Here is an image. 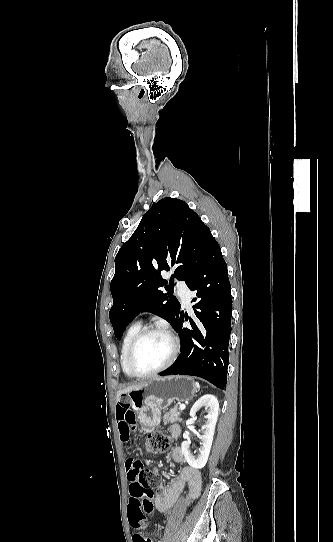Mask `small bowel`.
Masks as SVG:
<instances>
[{
  "instance_id": "c3829d8e",
  "label": "small bowel",
  "mask_w": 333,
  "mask_h": 542,
  "mask_svg": "<svg viewBox=\"0 0 333 542\" xmlns=\"http://www.w3.org/2000/svg\"><path fill=\"white\" fill-rule=\"evenodd\" d=\"M115 415L117 419V429L120 442L128 446L133 438V432L136 431V424L134 423V413L128 407V404L118 403L115 409ZM170 432L174 437L180 435V427L178 425H172ZM171 458L176 463L183 461V452L180 448L176 447L171 452ZM133 465L134 462L129 460L126 462L128 469V476L133 480ZM185 484L188 485V496L184 500V505H188L191 501L195 500L201 492L202 477L199 470L192 466H185L181 468L177 476L171 481L166 490L163 493L156 494L154 498V505L160 512L168 511L179 499L181 493L184 490ZM138 510L134 499L128 508V521L134 530L139 531L142 529L143 524L137 520Z\"/></svg>"
}]
</instances>
